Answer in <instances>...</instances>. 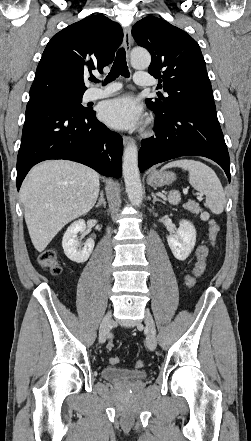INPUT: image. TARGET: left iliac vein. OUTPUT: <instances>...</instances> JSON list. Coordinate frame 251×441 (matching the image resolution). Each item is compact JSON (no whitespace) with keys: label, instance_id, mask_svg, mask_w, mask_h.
I'll list each match as a JSON object with an SVG mask.
<instances>
[{"label":"left iliac vein","instance_id":"1","mask_svg":"<svg viewBox=\"0 0 251 441\" xmlns=\"http://www.w3.org/2000/svg\"><path fill=\"white\" fill-rule=\"evenodd\" d=\"M145 325L148 329V334L146 338V345L149 348V350L153 351L156 349L157 346V339L155 335V324L153 317L149 311H145V317H144ZM138 327L140 325L138 324Z\"/></svg>","mask_w":251,"mask_h":441}]
</instances>
